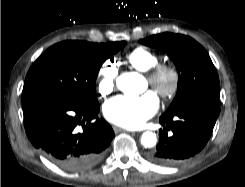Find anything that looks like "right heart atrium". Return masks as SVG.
Segmentation results:
<instances>
[{
	"instance_id": "1",
	"label": "right heart atrium",
	"mask_w": 245,
	"mask_h": 187,
	"mask_svg": "<svg viewBox=\"0 0 245 187\" xmlns=\"http://www.w3.org/2000/svg\"><path fill=\"white\" fill-rule=\"evenodd\" d=\"M118 67L114 61L106 60L100 67L96 90L100 97L110 95L115 89Z\"/></svg>"
}]
</instances>
